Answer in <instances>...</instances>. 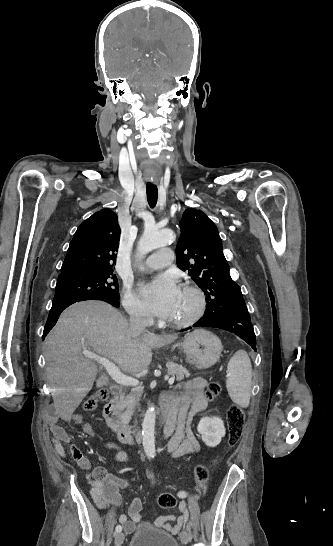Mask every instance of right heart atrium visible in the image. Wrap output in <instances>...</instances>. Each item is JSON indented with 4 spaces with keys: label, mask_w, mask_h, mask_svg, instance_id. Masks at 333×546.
<instances>
[{
    "label": "right heart atrium",
    "mask_w": 333,
    "mask_h": 546,
    "mask_svg": "<svg viewBox=\"0 0 333 546\" xmlns=\"http://www.w3.org/2000/svg\"><path fill=\"white\" fill-rule=\"evenodd\" d=\"M123 306L132 319L144 323L151 321V317L147 310L132 293L130 288L127 287L123 291Z\"/></svg>",
    "instance_id": "d8ad5b80"
}]
</instances>
